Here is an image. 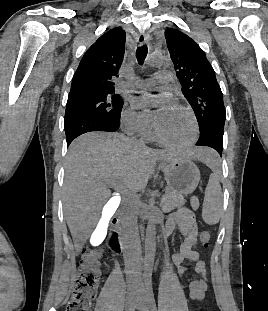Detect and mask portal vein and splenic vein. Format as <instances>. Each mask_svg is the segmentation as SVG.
I'll use <instances>...</instances> for the list:
<instances>
[{"instance_id":"obj_1","label":"portal vein and splenic vein","mask_w":268,"mask_h":311,"mask_svg":"<svg viewBox=\"0 0 268 311\" xmlns=\"http://www.w3.org/2000/svg\"><path fill=\"white\" fill-rule=\"evenodd\" d=\"M110 185L113 186V187H115L117 190L123 191L122 187H121L120 185H117V184L114 183V182H111ZM116 199H118V197H113V198H112V200H116Z\"/></svg>"}]
</instances>
